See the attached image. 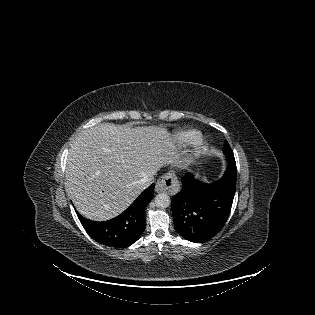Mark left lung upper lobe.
<instances>
[{
  "label": "left lung upper lobe",
  "instance_id": "obj_1",
  "mask_svg": "<svg viewBox=\"0 0 315 315\" xmlns=\"http://www.w3.org/2000/svg\"><path fill=\"white\" fill-rule=\"evenodd\" d=\"M223 152L229 164H236L233 151L227 141L224 143Z\"/></svg>",
  "mask_w": 315,
  "mask_h": 315
}]
</instances>
